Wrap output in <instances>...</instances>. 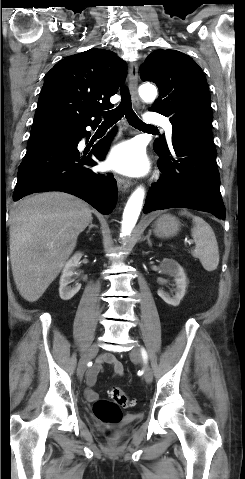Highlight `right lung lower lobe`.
Listing matches in <instances>:
<instances>
[{"label": "right lung lower lobe", "mask_w": 245, "mask_h": 479, "mask_svg": "<svg viewBox=\"0 0 245 479\" xmlns=\"http://www.w3.org/2000/svg\"><path fill=\"white\" fill-rule=\"evenodd\" d=\"M98 124L57 131L29 143L19 166L13 200L36 192L63 191L85 200L102 214H110L117 200V182L112 174L94 173L88 166L97 164L95 158H105L115 131L99 141L88 155L77 149L79 141L88 135L86 127Z\"/></svg>", "instance_id": "1"}]
</instances>
